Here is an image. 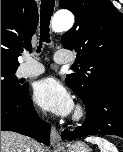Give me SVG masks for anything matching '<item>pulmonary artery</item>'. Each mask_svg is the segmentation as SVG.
<instances>
[{
  "label": "pulmonary artery",
  "mask_w": 123,
  "mask_h": 152,
  "mask_svg": "<svg viewBox=\"0 0 123 152\" xmlns=\"http://www.w3.org/2000/svg\"><path fill=\"white\" fill-rule=\"evenodd\" d=\"M54 60L58 64H67L73 62L74 57L66 52L59 51L55 54ZM43 72V65L26 55L25 62L17 70V75L19 77H35Z\"/></svg>",
  "instance_id": "e3ab8cb5"
}]
</instances>
